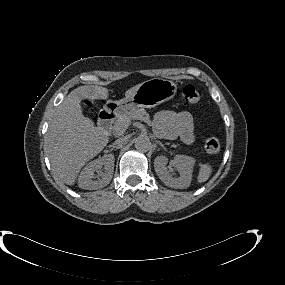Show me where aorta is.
Segmentation results:
<instances>
[{
    "mask_svg": "<svg viewBox=\"0 0 285 285\" xmlns=\"http://www.w3.org/2000/svg\"><path fill=\"white\" fill-rule=\"evenodd\" d=\"M135 148L142 152H147L151 147V142L146 135H140L135 138Z\"/></svg>",
    "mask_w": 285,
    "mask_h": 285,
    "instance_id": "aorta-1",
    "label": "aorta"
}]
</instances>
